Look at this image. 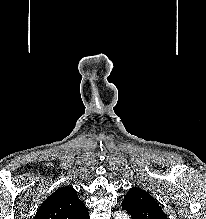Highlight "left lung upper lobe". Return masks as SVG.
Returning <instances> with one entry per match:
<instances>
[{"label": "left lung upper lobe", "mask_w": 206, "mask_h": 219, "mask_svg": "<svg viewBox=\"0 0 206 219\" xmlns=\"http://www.w3.org/2000/svg\"><path fill=\"white\" fill-rule=\"evenodd\" d=\"M122 209L126 210L132 219H167L155 199L139 187L129 189L122 202Z\"/></svg>", "instance_id": "left-lung-upper-lobe-1"}]
</instances>
